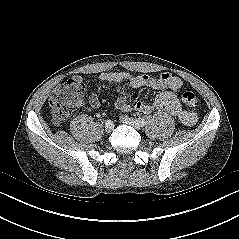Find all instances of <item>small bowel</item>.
I'll return each mask as SVG.
<instances>
[{"label":"small bowel","instance_id":"small-bowel-1","mask_svg":"<svg viewBox=\"0 0 239 239\" xmlns=\"http://www.w3.org/2000/svg\"><path fill=\"white\" fill-rule=\"evenodd\" d=\"M76 79L82 81L81 77H76ZM99 79L102 83L116 85V91L118 93L116 107L121 111L129 112L134 108L137 111L149 114L155 110L162 109L176 117L186 126H192L197 122L196 113L183 109L175 94L183 85L181 78L178 76L164 72L155 78L148 75H135L127 72L113 71L101 73ZM121 83H126L133 89L150 87L159 90L160 93L152 102L138 100L132 105L127 93L120 86ZM88 103L92 108H98L100 106L98 95L92 94L89 97Z\"/></svg>","mask_w":239,"mask_h":239}]
</instances>
